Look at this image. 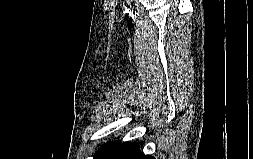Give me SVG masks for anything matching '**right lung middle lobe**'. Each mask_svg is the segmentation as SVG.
<instances>
[{
  "label": "right lung middle lobe",
  "mask_w": 253,
  "mask_h": 159,
  "mask_svg": "<svg viewBox=\"0 0 253 159\" xmlns=\"http://www.w3.org/2000/svg\"><path fill=\"white\" fill-rule=\"evenodd\" d=\"M118 142H108L107 144H104L99 151L95 154L94 159H98L101 155L106 153L108 150H110L113 146H115Z\"/></svg>",
  "instance_id": "right-lung-middle-lobe-1"
}]
</instances>
